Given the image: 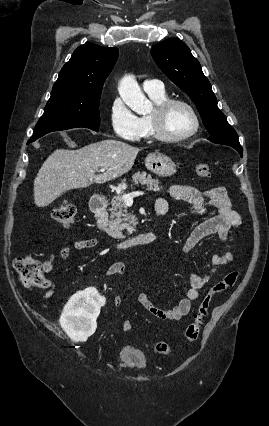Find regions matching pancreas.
<instances>
[{"mask_svg": "<svg viewBox=\"0 0 269 426\" xmlns=\"http://www.w3.org/2000/svg\"><path fill=\"white\" fill-rule=\"evenodd\" d=\"M132 179L135 184L146 185V189L150 191L158 192L162 188L159 187V181L153 179L151 175H147L146 172H142L141 174L136 173ZM109 211L111 215L109 228L106 231L110 236L113 238H124L125 236L122 234L124 229L127 230L128 235H131L135 231V226L137 225L136 219L127 212V207L122 200V196L112 199Z\"/></svg>", "mask_w": 269, "mask_h": 426, "instance_id": "1", "label": "pancreas"}]
</instances>
